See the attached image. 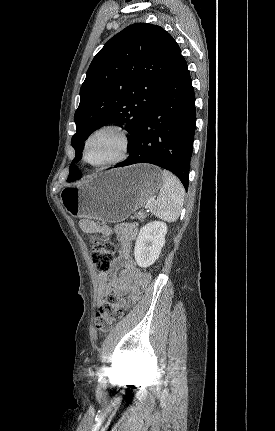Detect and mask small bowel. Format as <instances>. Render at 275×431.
Listing matches in <instances>:
<instances>
[{
    "instance_id": "c3829d8e",
    "label": "small bowel",
    "mask_w": 275,
    "mask_h": 431,
    "mask_svg": "<svg viewBox=\"0 0 275 431\" xmlns=\"http://www.w3.org/2000/svg\"><path fill=\"white\" fill-rule=\"evenodd\" d=\"M80 228L94 236L113 234L119 246L118 256L110 269L98 274V303L102 305L104 297L109 294L123 296L129 293L126 305L128 307L134 305L149 282V277L140 271L132 258V244L137 237L136 226L131 223H120L114 228H109L84 219L80 221Z\"/></svg>"
}]
</instances>
